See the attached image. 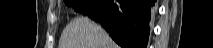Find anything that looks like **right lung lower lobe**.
I'll list each match as a JSON object with an SVG mask.
<instances>
[{"label":"right lung lower lobe","mask_w":213,"mask_h":48,"mask_svg":"<svg viewBox=\"0 0 213 48\" xmlns=\"http://www.w3.org/2000/svg\"><path fill=\"white\" fill-rule=\"evenodd\" d=\"M96 0L85 15L109 32L122 48H146L156 0Z\"/></svg>","instance_id":"obj_1"}]
</instances>
